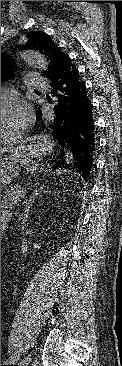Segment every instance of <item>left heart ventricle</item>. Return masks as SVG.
<instances>
[{"label":"left heart ventricle","instance_id":"left-heart-ventricle-1","mask_svg":"<svg viewBox=\"0 0 122 366\" xmlns=\"http://www.w3.org/2000/svg\"><path fill=\"white\" fill-rule=\"evenodd\" d=\"M19 108L16 105L1 108V137H8L20 127L22 115Z\"/></svg>","mask_w":122,"mask_h":366}]
</instances>
